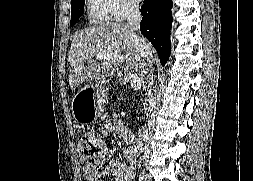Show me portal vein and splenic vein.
I'll list each match as a JSON object with an SVG mask.
<instances>
[{
  "label": "portal vein and splenic vein",
  "instance_id": "obj_1",
  "mask_svg": "<svg viewBox=\"0 0 253 181\" xmlns=\"http://www.w3.org/2000/svg\"><path fill=\"white\" fill-rule=\"evenodd\" d=\"M98 58H104V59H112L118 63L124 62V57L118 53L113 52H102L97 55ZM128 79L130 80L131 87L134 89H139L141 87V80L140 78L132 72L128 73Z\"/></svg>",
  "mask_w": 253,
  "mask_h": 181
}]
</instances>
